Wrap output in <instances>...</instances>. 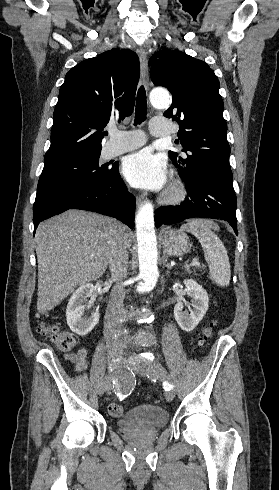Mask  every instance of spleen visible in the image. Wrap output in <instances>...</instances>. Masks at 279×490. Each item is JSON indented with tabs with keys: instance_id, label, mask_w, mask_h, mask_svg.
<instances>
[{
	"instance_id": "1",
	"label": "spleen",
	"mask_w": 279,
	"mask_h": 490,
	"mask_svg": "<svg viewBox=\"0 0 279 490\" xmlns=\"http://www.w3.org/2000/svg\"><path fill=\"white\" fill-rule=\"evenodd\" d=\"M218 228L217 224L207 222V220H190L188 224L181 226V230L191 232L199 240L213 282L222 288H227L231 278V266L225 246L218 236L212 232Z\"/></svg>"
}]
</instances>
